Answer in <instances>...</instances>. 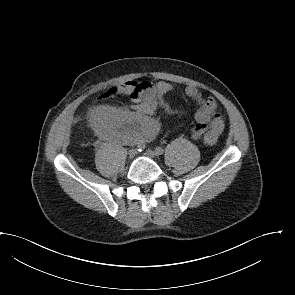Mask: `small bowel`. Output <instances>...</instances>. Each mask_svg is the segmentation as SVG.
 Masks as SVG:
<instances>
[{"instance_id": "small-bowel-1", "label": "small bowel", "mask_w": 295, "mask_h": 295, "mask_svg": "<svg viewBox=\"0 0 295 295\" xmlns=\"http://www.w3.org/2000/svg\"><path fill=\"white\" fill-rule=\"evenodd\" d=\"M174 89V85L166 81L125 82L117 87V91L133 100L135 103L133 111L99 106L91 111L90 121L104 138L122 143L151 140L158 132V124L152 118L154 113L158 109L167 113L178 112L164 100V96ZM185 93L198 105L193 137L198 139L206 133L219 136L224 129V121L217 112L218 105L215 98L210 95L204 96L197 87L191 85L185 88Z\"/></svg>"}]
</instances>
